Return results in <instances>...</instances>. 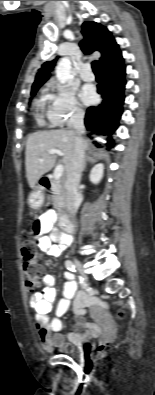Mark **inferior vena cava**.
Returning a JSON list of instances; mask_svg holds the SVG:
<instances>
[{
    "label": "inferior vena cava",
    "instance_id": "602c4592",
    "mask_svg": "<svg viewBox=\"0 0 155 395\" xmlns=\"http://www.w3.org/2000/svg\"><path fill=\"white\" fill-rule=\"evenodd\" d=\"M73 126L78 134L76 138L74 154L66 170L65 182V202L69 215L74 218L79 203L78 187L81 179V172L84 164V146L81 134L85 132L84 113L78 112L74 116Z\"/></svg>",
    "mask_w": 155,
    "mask_h": 395
}]
</instances>
